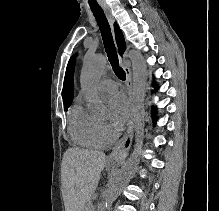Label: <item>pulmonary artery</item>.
I'll list each match as a JSON object with an SVG mask.
<instances>
[{"label": "pulmonary artery", "instance_id": "e3ab8cb5", "mask_svg": "<svg viewBox=\"0 0 219 211\" xmlns=\"http://www.w3.org/2000/svg\"><path fill=\"white\" fill-rule=\"evenodd\" d=\"M117 84L111 79H103L98 85V90L105 93H114L117 91Z\"/></svg>", "mask_w": 219, "mask_h": 211}]
</instances>
